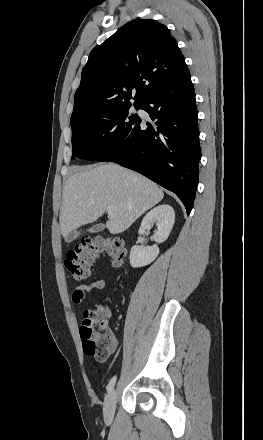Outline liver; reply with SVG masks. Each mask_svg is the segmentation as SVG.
Returning a JSON list of instances; mask_svg holds the SVG:
<instances>
[{
  "label": "liver",
  "mask_w": 263,
  "mask_h": 440,
  "mask_svg": "<svg viewBox=\"0 0 263 440\" xmlns=\"http://www.w3.org/2000/svg\"><path fill=\"white\" fill-rule=\"evenodd\" d=\"M163 197L154 182L119 165L79 167L67 179L63 191L61 234L66 238L75 229L96 221L108 205L115 210L105 227L111 234L122 233Z\"/></svg>",
  "instance_id": "liver-1"
}]
</instances>
